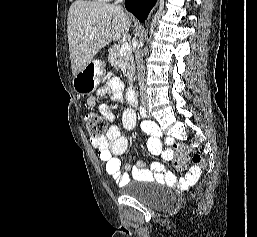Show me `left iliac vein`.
<instances>
[{
    "instance_id": "left-iliac-vein-1",
    "label": "left iliac vein",
    "mask_w": 257,
    "mask_h": 237,
    "mask_svg": "<svg viewBox=\"0 0 257 237\" xmlns=\"http://www.w3.org/2000/svg\"><path fill=\"white\" fill-rule=\"evenodd\" d=\"M151 116V111L150 110H148V117H150Z\"/></svg>"
}]
</instances>
